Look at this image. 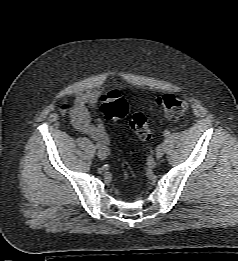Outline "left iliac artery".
<instances>
[{"instance_id": "left-iliac-artery-1", "label": "left iliac artery", "mask_w": 238, "mask_h": 261, "mask_svg": "<svg viewBox=\"0 0 238 261\" xmlns=\"http://www.w3.org/2000/svg\"><path fill=\"white\" fill-rule=\"evenodd\" d=\"M169 135H170V132H169L168 130H165V131H164V136H165V137H168Z\"/></svg>"}]
</instances>
